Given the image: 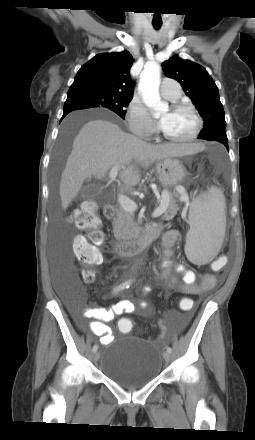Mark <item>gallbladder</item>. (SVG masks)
I'll return each instance as SVG.
<instances>
[{"label":"gallbladder","instance_id":"1","mask_svg":"<svg viewBox=\"0 0 255 440\" xmlns=\"http://www.w3.org/2000/svg\"><path fill=\"white\" fill-rule=\"evenodd\" d=\"M99 192V186L97 184H87L80 192V197L82 198H92L96 196Z\"/></svg>","mask_w":255,"mask_h":440}]
</instances>
